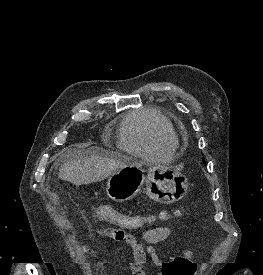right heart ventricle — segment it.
Instances as JSON below:
<instances>
[{
  "label": "right heart ventricle",
  "mask_w": 263,
  "mask_h": 275,
  "mask_svg": "<svg viewBox=\"0 0 263 275\" xmlns=\"http://www.w3.org/2000/svg\"><path fill=\"white\" fill-rule=\"evenodd\" d=\"M119 146L139 156L168 157L175 148L171 123L154 109L134 111L122 121Z\"/></svg>",
  "instance_id": "obj_1"
}]
</instances>
